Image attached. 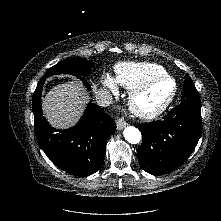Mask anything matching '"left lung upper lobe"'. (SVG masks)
<instances>
[{
  "label": "left lung upper lobe",
  "mask_w": 221,
  "mask_h": 221,
  "mask_svg": "<svg viewBox=\"0 0 221 221\" xmlns=\"http://www.w3.org/2000/svg\"><path fill=\"white\" fill-rule=\"evenodd\" d=\"M181 104L201 105L199 93L188 74L185 76Z\"/></svg>",
  "instance_id": "left-lung-upper-lobe-1"
}]
</instances>
